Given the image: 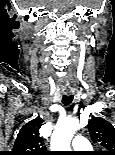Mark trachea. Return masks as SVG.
I'll list each match as a JSON object with an SVG mask.
<instances>
[{
    "mask_svg": "<svg viewBox=\"0 0 115 155\" xmlns=\"http://www.w3.org/2000/svg\"><path fill=\"white\" fill-rule=\"evenodd\" d=\"M73 100V95H63L62 103L65 106H68Z\"/></svg>",
    "mask_w": 115,
    "mask_h": 155,
    "instance_id": "trachea-1",
    "label": "trachea"
}]
</instances>
